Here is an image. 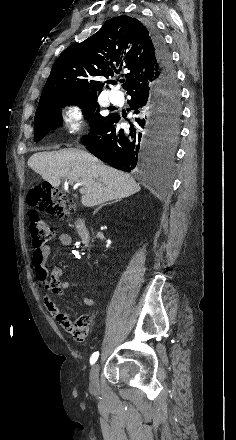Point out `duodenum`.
I'll return each instance as SVG.
<instances>
[{
  "instance_id": "410a0bca",
  "label": "duodenum",
  "mask_w": 236,
  "mask_h": 440,
  "mask_svg": "<svg viewBox=\"0 0 236 440\" xmlns=\"http://www.w3.org/2000/svg\"><path fill=\"white\" fill-rule=\"evenodd\" d=\"M75 229L78 237L81 239L83 244L89 246L91 242L90 232L85 220L82 217L76 219Z\"/></svg>"
}]
</instances>
